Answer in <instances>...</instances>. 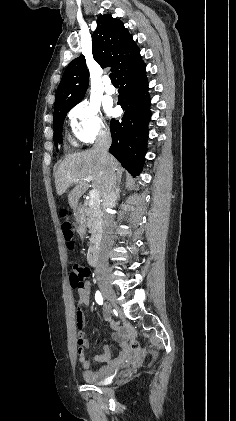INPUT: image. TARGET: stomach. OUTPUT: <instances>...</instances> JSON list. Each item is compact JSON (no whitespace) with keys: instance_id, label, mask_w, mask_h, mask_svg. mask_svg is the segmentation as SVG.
Masks as SVG:
<instances>
[{"instance_id":"1","label":"stomach","mask_w":236,"mask_h":421,"mask_svg":"<svg viewBox=\"0 0 236 421\" xmlns=\"http://www.w3.org/2000/svg\"><path fill=\"white\" fill-rule=\"evenodd\" d=\"M79 219H80V223L82 225V223H83V217H82V215H80Z\"/></svg>"}]
</instances>
